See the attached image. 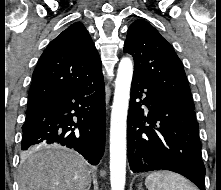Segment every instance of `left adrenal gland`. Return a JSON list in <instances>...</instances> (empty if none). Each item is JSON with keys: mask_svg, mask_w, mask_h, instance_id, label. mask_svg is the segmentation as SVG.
<instances>
[{"mask_svg": "<svg viewBox=\"0 0 221 190\" xmlns=\"http://www.w3.org/2000/svg\"><path fill=\"white\" fill-rule=\"evenodd\" d=\"M138 190H144V189L142 188V185H141V184L138 185Z\"/></svg>", "mask_w": 221, "mask_h": 190, "instance_id": "left-adrenal-gland-1", "label": "left adrenal gland"}]
</instances>
